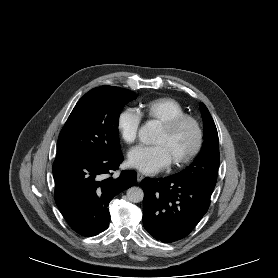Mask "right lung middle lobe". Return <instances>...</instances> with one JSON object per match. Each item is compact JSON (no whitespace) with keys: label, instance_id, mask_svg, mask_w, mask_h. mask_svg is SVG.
Returning <instances> with one entry per match:
<instances>
[{"label":"right lung middle lobe","instance_id":"dd1d6c3e","mask_svg":"<svg viewBox=\"0 0 278 278\" xmlns=\"http://www.w3.org/2000/svg\"><path fill=\"white\" fill-rule=\"evenodd\" d=\"M135 97L132 91L111 86H101L86 93L59 135L55 162L120 151V112Z\"/></svg>","mask_w":278,"mask_h":278}]
</instances>
